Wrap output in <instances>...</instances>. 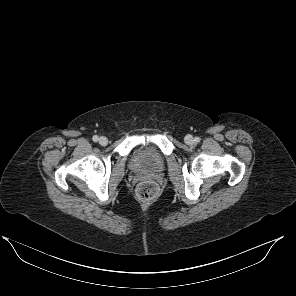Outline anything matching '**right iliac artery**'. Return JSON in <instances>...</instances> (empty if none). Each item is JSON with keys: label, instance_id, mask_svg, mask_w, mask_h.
<instances>
[{"label": "right iliac artery", "instance_id": "82829eb1", "mask_svg": "<svg viewBox=\"0 0 296 296\" xmlns=\"http://www.w3.org/2000/svg\"><path fill=\"white\" fill-rule=\"evenodd\" d=\"M92 139H93L94 142H97L99 137L97 135H94Z\"/></svg>", "mask_w": 296, "mask_h": 296}]
</instances>
